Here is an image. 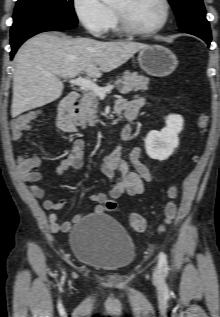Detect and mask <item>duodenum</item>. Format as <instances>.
<instances>
[{
  "mask_svg": "<svg viewBox=\"0 0 220 317\" xmlns=\"http://www.w3.org/2000/svg\"><path fill=\"white\" fill-rule=\"evenodd\" d=\"M80 95L78 92L73 91L69 93L60 103L57 113V126L65 132H76L78 127L74 121L76 110L79 106ZM124 107L121 102H117L116 113L118 116H122L124 113ZM126 128L121 130V136Z\"/></svg>",
  "mask_w": 220,
  "mask_h": 317,
  "instance_id": "1",
  "label": "duodenum"
}]
</instances>
